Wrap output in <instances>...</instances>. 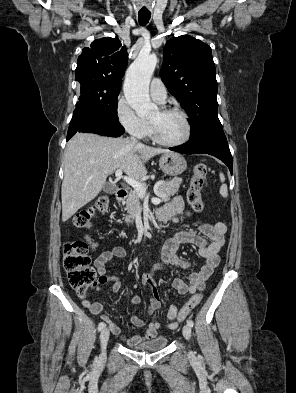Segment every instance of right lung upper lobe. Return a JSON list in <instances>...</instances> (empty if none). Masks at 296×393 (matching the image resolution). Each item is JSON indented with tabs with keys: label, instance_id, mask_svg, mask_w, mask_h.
I'll use <instances>...</instances> for the list:
<instances>
[{
	"label": "right lung upper lobe",
	"instance_id": "right-lung-upper-lobe-1",
	"mask_svg": "<svg viewBox=\"0 0 296 393\" xmlns=\"http://www.w3.org/2000/svg\"><path fill=\"white\" fill-rule=\"evenodd\" d=\"M128 63L127 50L116 38L96 39L82 50L75 78L81 85L92 84L108 91H120Z\"/></svg>",
	"mask_w": 296,
	"mask_h": 393
}]
</instances>
